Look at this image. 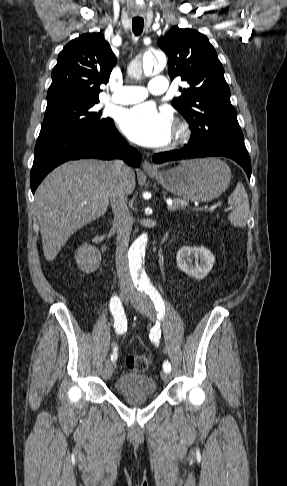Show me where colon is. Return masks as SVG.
<instances>
[{
	"label": "colon",
	"instance_id": "5ec220e1",
	"mask_svg": "<svg viewBox=\"0 0 287 486\" xmlns=\"http://www.w3.org/2000/svg\"><path fill=\"white\" fill-rule=\"evenodd\" d=\"M151 361L144 355H129L126 358V366L136 372H144L150 368Z\"/></svg>",
	"mask_w": 287,
	"mask_h": 486
}]
</instances>
